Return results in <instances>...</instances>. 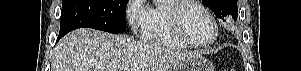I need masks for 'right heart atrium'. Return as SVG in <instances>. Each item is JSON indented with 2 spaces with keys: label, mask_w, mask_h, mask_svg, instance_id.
Returning a JSON list of instances; mask_svg holds the SVG:
<instances>
[{
  "label": "right heart atrium",
  "mask_w": 301,
  "mask_h": 71,
  "mask_svg": "<svg viewBox=\"0 0 301 71\" xmlns=\"http://www.w3.org/2000/svg\"><path fill=\"white\" fill-rule=\"evenodd\" d=\"M149 8L145 6L144 0H130L126 8V18L134 32L142 30Z\"/></svg>",
  "instance_id": "1"
}]
</instances>
